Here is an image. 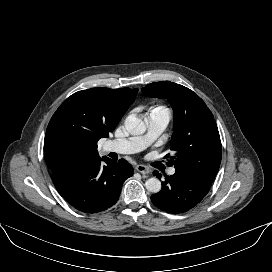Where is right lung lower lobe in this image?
<instances>
[{"mask_svg": "<svg viewBox=\"0 0 272 272\" xmlns=\"http://www.w3.org/2000/svg\"><path fill=\"white\" fill-rule=\"evenodd\" d=\"M132 175L133 168L124 159L116 162L99 157L52 173V181L60 195L74 208L96 213L117 202L124 181Z\"/></svg>", "mask_w": 272, "mask_h": 272, "instance_id": "obj_1", "label": "right lung lower lobe"}]
</instances>
